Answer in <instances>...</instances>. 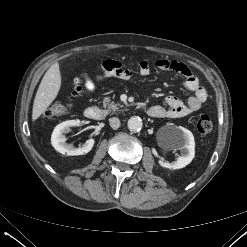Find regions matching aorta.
<instances>
[{"mask_svg": "<svg viewBox=\"0 0 247 247\" xmlns=\"http://www.w3.org/2000/svg\"><path fill=\"white\" fill-rule=\"evenodd\" d=\"M142 119L138 116H133L128 120V129L131 132H138L142 129Z\"/></svg>", "mask_w": 247, "mask_h": 247, "instance_id": "762f6f07", "label": "aorta"}]
</instances>
